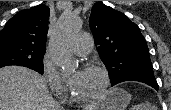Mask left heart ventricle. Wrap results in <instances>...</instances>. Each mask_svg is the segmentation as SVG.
<instances>
[{"instance_id": "1", "label": "left heart ventricle", "mask_w": 171, "mask_h": 110, "mask_svg": "<svg viewBox=\"0 0 171 110\" xmlns=\"http://www.w3.org/2000/svg\"><path fill=\"white\" fill-rule=\"evenodd\" d=\"M77 73V72H76ZM102 86V76L93 69H84L72 90L78 96L86 97L97 93Z\"/></svg>"}]
</instances>
